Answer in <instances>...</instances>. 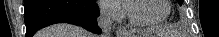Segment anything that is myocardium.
I'll list each match as a JSON object with an SVG mask.
<instances>
[{"label":"myocardium","mask_w":219,"mask_h":37,"mask_svg":"<svg viewBox=\"0 0 219 37\" xmlns=\"http://www.w3.org/2000/svg\"><path fill=\"white\" fill-rule=\"evenodd\" d=\"M137 1H142V0H131L127 2V12H128L129 20L131 24L136 27H157L163 24L170 15V12H171L170 1L162 0L163 5L165 7V13L161 18L157 20H152V21H144V20L137 19L132 12V4L133 2H137Z\"/></svg>","instance_id":"1"}]
</instances>
